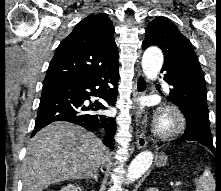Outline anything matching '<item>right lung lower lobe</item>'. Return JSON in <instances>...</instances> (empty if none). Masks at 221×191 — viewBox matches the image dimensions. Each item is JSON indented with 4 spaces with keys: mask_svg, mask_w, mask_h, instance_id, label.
<instances>
[{
    "mask_svg": "<svg viewBox=\"0 0 221 191\" xmlns=\"http://www.w3.org/2000/svg\"><path fill=\"white\" fill-rule=\"evenodd\" d=\"M118 80L119 69L117 68L91 79L43 84L35 129L31 136L52 122L68 121L90 131L101 130L105 135L103 143L113 150L115 119L94 113L107 109L102 103L86 106L84 101L89 100L91 96H100L107 104L114 105L118 92L115 88L109 90L106 88L108 83L117 87Z\"/></svg>",
    "mask_w": 221,
    "mask_h": 191,
    "instance_id": "98d812e1",
    "label": "right lung lower lobe"
}]
</instances>
